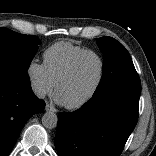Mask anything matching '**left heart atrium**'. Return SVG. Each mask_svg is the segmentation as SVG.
<instances>
[{
    "mask_svg": "<svg viewBox=\"0 0 156 156\" xmlns=\"http://www.w3.org/2000/svg\"><path fill=\"white\" fill-rule=\"evenodd\" d=\"M56 101L58 102V103H60V104H63V102L60 100V98L56 95Z\"/></svg>",
    "mask_w": 156,
    "mask_h": 156,
    "instance_id": "obj_1",
    "label": "left heart atrium"
}]
</instances>
